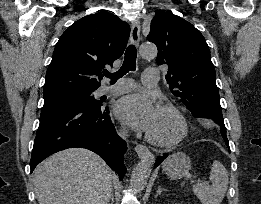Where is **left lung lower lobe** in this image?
Listing matches in <instances>:
<instances>
[{
    "instance_id": "1",
    "label": "left lung lower lobe",
    "mask_w": 261,
    "mask_h": 204,
    "mask_svg": "<svg viewBox=\"0 0 261 204\" xmlns=\"http://www.w3.org/2000/svg\"><path fill=\"white\" fill-rule=\"evenodd\" d=\"M222 137L224 138L226 144L228 145V139H227V136L226 134H222ZM168 156L167 153L163 154V156L161 157H158L157 160H156V163H155V167H157L160 163H162V161Z\"/></svg>"
}]
</instances>
